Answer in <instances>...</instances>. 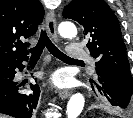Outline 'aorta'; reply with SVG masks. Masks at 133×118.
<instances>
[{
	"instance_id": "obj_1",
	"label": "aorta",
	"mask_w": 133,
	"mask_h": 118,
	"mask_svg": "<svg viewBox=\"0 0 133 118\" xmlns=\"http://www.w3.org/2000/svg\"><path fill=\"white\" fill-rule=\"evenodd\" d=\"M59 34L64 38H74L77 35V28L71 22H63L58 28ZM85 104V98L81 93H76L71 96L67 104V118H78Z\"/></svg>"
}]
</instances>
